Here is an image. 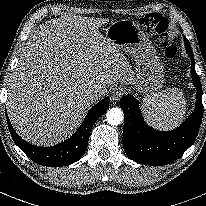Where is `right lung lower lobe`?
Here are the masks:
<instances>
[{
	"label": "right lung lower lobe",
	"mask_w": 206,
	"mask_h": 206,
	"mask_svg": "<svg viewBox=\"0 0 206 206\" xmlns=\"http://www.w3.org/2000/svg\"><path fill=\"white\" fill-rule=\"evenodd\" d=\"M108 107L109 98L106 97L90 109L83 123L71 138L51 147H37L27 143L14 131L7 113L6 118L12 139L31 160L47 167H60L77 161L83 155L93 125Z\"/></svg>",
	"instance_id": "obj_1"
}]
</instances>
